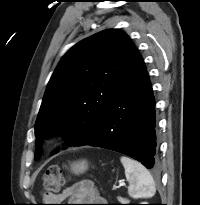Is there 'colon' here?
<instances>
[{"label": "colon", "instance_id": "1", "mask_svg": "<svg viewBox=\"0 0 200 205\" xmlns=\"http://www.w3.org/2000/svg\"><path fill=\"white\" fill-rule=\"evenodd\" d=\"M64 184L65 176L62 167L52 165L46 170L43 176L42 192L45 197L57 194Z\"/></svg>", "mask_w": 200, "mask_h": 205}]
</instances>
